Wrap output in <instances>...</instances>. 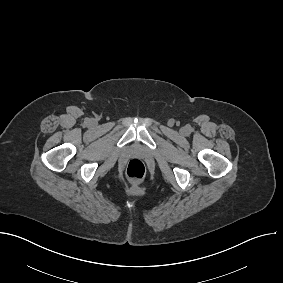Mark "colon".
<instances>
[{
  "instance_id": "colon-1",
  "label": "colon",
  "mask_w": 283,
  "mask_h": 283,
  "mask_svg": "<svg viewBox=\"0 0 283 283\" xmlns=\"http://www.w3.org/2000/svg\"><path fill=\"white\" fill-rule=\"evenodd\" d=\"M145 166L139 159H132L126 167V176L130 180L138 181L145 176Z\"/></svg>"
}]
</instances>
